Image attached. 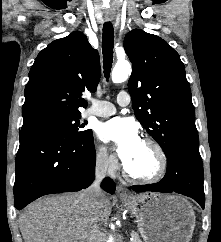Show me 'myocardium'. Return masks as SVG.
Returning a JSON list of instances; mask_svg holds the SVG:
<instances>
[{
    "instance_id": "obj_1",
    "label": "myocardium",
    "mask_w": 221,
    "mask_h": 242,
    "mask_svg": "<svg viewBox=\"0 0 221 242\" xmlns=\"http://www.w3.org/2000/svg\"><path fill=\"white\" fill-rule=\"evenodd\" d=\"M142 142L147 146H149L154 153V156L156 159L155 170L148 175H139L132 172L128 168L126 163H123V169L126 176L133 181H136L139 183H154L162 179L163 176L165 175L167 171V166H168L167 157L161 145L158 142H156L154 139L144 138Z\"/></svg>"
}]
</instances>
